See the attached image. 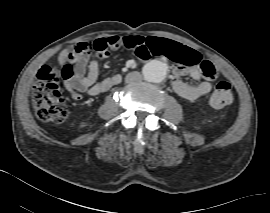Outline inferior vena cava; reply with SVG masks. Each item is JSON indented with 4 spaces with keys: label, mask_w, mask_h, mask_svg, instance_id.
Wrapping results in <instances>:
<instances>
[{
    "label": "inferior vena cava",
    "mask_w": 270,
    "mask_h": 213,
    "mask_svg": "<svg viewBox=\"0 0 270 213\" xmlns=\"http://www.w3.org/2000/svg\"><path fill=\"white\" fill-rule=\"evenodd\" d=\"M125 80L127 83L139 82L142 80V76L139 72L134 71L128 73Z\"/></svg>",
    "instance_id": "inferior-vena-cava-1"
}]
</instances>
